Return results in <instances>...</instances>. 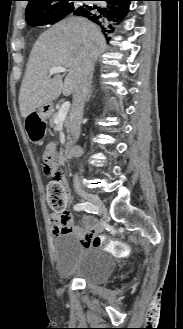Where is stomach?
Returning a JSON list of instances; mask_svg holds the SVG:
<instances>
[{"mask_svg": "<svg viewBox=\"0 0 183 329\" xmlns=\"http://www.w3.org/2000/svg\"><path fill=\"white\" fill-rule=\"evenodd\" d=\"M54 111V106L52 103H48V104H45L43 106H41L38 110V115L41 117V118H47L49 116L52 115Z\"/></svg>", "mask_w": 183, "mask_h": 329, "instance_id": "stomach-1", "label": "stomach"}]
</instances>
